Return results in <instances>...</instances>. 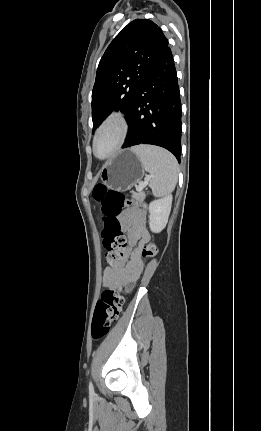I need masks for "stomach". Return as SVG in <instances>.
I'll return each instance as SVG.
<instances>
[{"label": "stomach", "instance_id": "1", "mask_svg": "<svg viewBox=\"0 0 261 431\" xmlns=\"http://www.w3.org/2000/svg\"><path fill=\"white\" fill-rule=\"evenodd\" d=\"M144 176L140 159L131 150L112 157L101 169L100 177L109 188L125 191L136 185Z\"/></svg>", "mask_w": 261, "mask_h": 431}]
</instances>
